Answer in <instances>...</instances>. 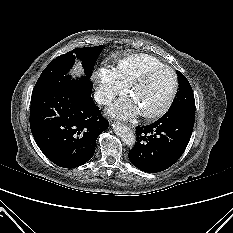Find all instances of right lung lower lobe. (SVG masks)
<instances>
[{
  "instance_id": "right-lung-lower-lobe-1",
  "label": "right lung lower lobe",
  "mask_w": 233,
  "mask_h": 233,
  "mask_svg": "<svg viewBox=\"0 0 233 233\" xmlns=\"http://www.w3.org/2000/svg\"><path fill=\"white\" fill-rule=\"evenodd\" d=\"M91 92L92 82L83 77L32 94V135L45 156L60 167L75 168L89 161L97 137L109 126Z\"/></svg>"
}]
</instances>
